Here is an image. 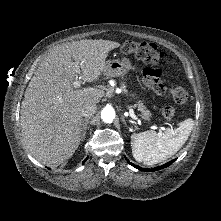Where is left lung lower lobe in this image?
I'll use <instances>...</instances> for the list:
<instances>
[{
	"label": "left lung lower lobe",
	"instance_id": "1",
	"mask_svg": "<svg viewBox=\"0 0 221 221\" xmlns=\"http://www.w3.org/2000/svg\"><path fill=\"white\" fill-rule=\"evenodd\" d=\"M174 161H175V159L172 160V161H169L168 163H166V164H164V165H162V166H159V167H156V168H151V169L139 168L138 166H136V165H134V164H132V163H129V164H131L133 167H135V168H137V169H139V170H141V171H157V170H160V169H163V168L168 167V166L171 165Z\"/></svg>",
	"mask_w": 221,
	"mask_h": 221
}]
</instances>
